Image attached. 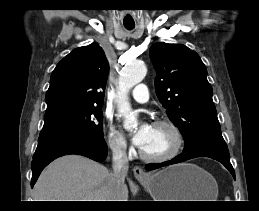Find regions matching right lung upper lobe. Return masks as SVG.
Masks as SVG:
<instances>
[{
    "mask_svg": "<svg viewBox=\"0 0 259 211\" xmlns=\"http://www.w3.org/2000/svg\"><path fill=\"white\" fill-rule=\"evenodd\" d=\"M108 72V61L97 43L74 49L52 72L44 123L101 106Z\"/></svg>",
    "mask_w": 259,
    "mask_h": 211,
    "instance_id": "cb5924a9",
    "label": "right lung upper lobe"
}]
</instances>
